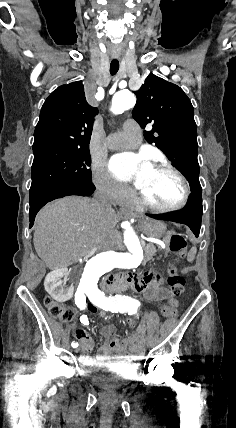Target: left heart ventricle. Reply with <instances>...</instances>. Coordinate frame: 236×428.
<instances>
[{
    "label": "left heart ventricle",
    "mask_w": 236,
    "mask_h": 428,
    "mask_svg": "<svg viewBox=\"0 0 236 428\" xmlns=\"http://www.w3.org/2000/svg\"><path fill=\"white\" fill-rule=\"evenodd\" d=\"M152 202L160 206H172L182 197L179 180L165 170H150L142 179L139 188Z\"/></svg>",
    "instance_id": "1"
}]
</instances>
